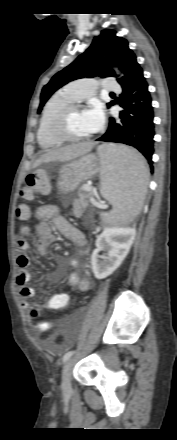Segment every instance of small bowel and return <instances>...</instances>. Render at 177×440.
<instances>
[{
  "instance_id": "obj_1",
  "label": "small bowel",
  "mask_w": 177,
  "mask_h": 440,
  "mask_svg": "<svg viewBox=\"0 0 177 440\" xmlns=\"http://www.w3.org/2000/svg\"><path fill=\"white\" fill-rule=\"evenodd\" d=\"M33 216L37 220L31 227L37 235L36 248L40 254H47L49 247L55 242L56 237L53 233V228H56L68 240L76 244L80 248V254H87V243L84 234L75 226L70 224L59 213V208L55 205H41L33 210ZM28 244L24 240H18L16 244L17 266L19 269L17 275V286L19 288L18 294L21 300V305L24 309L30 307L29 300L34 296L35 291L29 286L31 274L28 271L30 264L29 257L26 254ZM69 265L75 269H80L85 274L83 277L77 272H72L69 277V284L80 292H87L91 289L92 281L88 276V265L80 266L77 260H70ZM57 273L50 275L49 280H56ZM50 298H68L66 293H57ZM69 304V303H68ZM34 327L41 332L48 331L51 325L44 321L34 322Z\"/></svg>"
}]
</instances>
